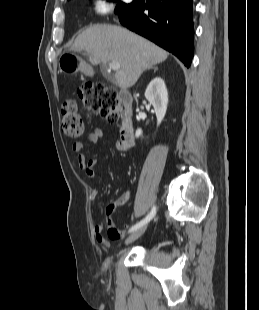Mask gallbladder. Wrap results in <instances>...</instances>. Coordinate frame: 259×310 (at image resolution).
<instances>
[{
  "mask_svg": "<svg viewBox=\"0 0 259 310\" xmlns=\"http://www.w3.org/2000/svg\"><path fill=\"white\" fill-rule=\"evenodd\" d=\"M107 80H109V81H113V77L112 76H110V75H108V74H106L105 72H104V75H103Z\"/></svg>",
  "mask_w": 259,
  "mask_h": 310,
  "instance_id": "obj_1",
  "label": "gallbladder"
}]
</instances>
